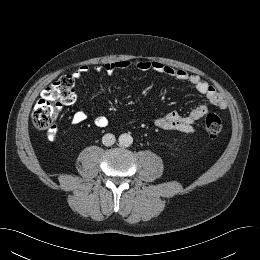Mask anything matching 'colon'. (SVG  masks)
Wrapping results in <instances>:
<instances>
[{
    "label": "colon",
    "instance_id": "1",
    "mask_svg": "<svg viewBox=\"0 0 260 260\" xmlns=\"http://www.w3.org/2000/svg\"><path fill=\"white\" fill-rule=\"evenodd\" d=\"M75 99L73 77L62 75L43 91L32 114L33 124L40 130L56 133V119L62 106L73 103ZM204 124L211 136H217L222 131V120L215 113H209L205 117Z\"/></svg>",
    "mask_w": 260,
    "mask_h": 260
}]
</instances>
